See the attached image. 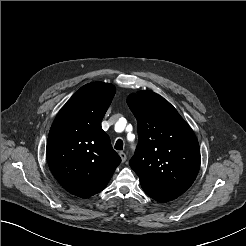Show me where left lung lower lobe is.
<instances>
[{
	"label": "left lung lower lobe",
	"instance_id": "0a47b994",
	"mask_svg": "<svg viewBox=\"0 0 246 246\" xmlns=\"http://www.w3.org/2000/svg\"><path fill=\"white\" fill-rule=\"evenodd\" d=\"M141 186L147 195H149L151 198H153L158 202H167L176 199L178 197L177 195L164 192L162 190H159L157 188H154L146 184H141Z\"/></svg>",
	"mask_w": 246,
	"mask_h": 246
}]
</instances>
